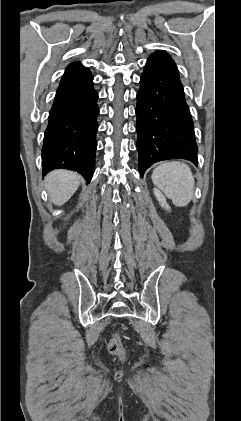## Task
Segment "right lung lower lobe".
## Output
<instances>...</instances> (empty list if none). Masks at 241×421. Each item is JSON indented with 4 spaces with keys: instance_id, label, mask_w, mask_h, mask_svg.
<instances>
[{
    "instance_id": "right-lung-lower-lobe-1",
    "label": "right lung lower lobe",
    "mask_w": 241,
    "mask_h": 421,
    "mask_svg": "<svg viewBox=\"0 0 241 421\" xmlns=\"http://www.w3.org/2000/svg\"><path fill=\"white\" fill-rule=\"evenodd\" d=\"M98 93L88 68L67 67L57 89L42 147L43 174L57 168L81 173L87 182L95 170Z\"/></svg>"
}]
</instances>
